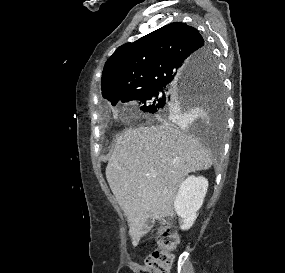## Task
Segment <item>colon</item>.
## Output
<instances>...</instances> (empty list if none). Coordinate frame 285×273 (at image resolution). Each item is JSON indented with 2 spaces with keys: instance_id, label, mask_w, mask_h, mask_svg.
<instances>
[{
  "instance_id": "colon-1",
  "label": "colon",
  "mask_w": 285,
  "mask_h": 273,
  "mask_svg": "<svg viewBox=\"0 0 285 273\" xmlns=\"http://www.w3.org/2000/svg\"><path fill=\"white\" fill-rule=\"evenodd\" d=\"M157 248L145 259L151 273H169L174 253L179 245V236L168 227H163L156 239Z\"/></svg>"
}]
</instances>
